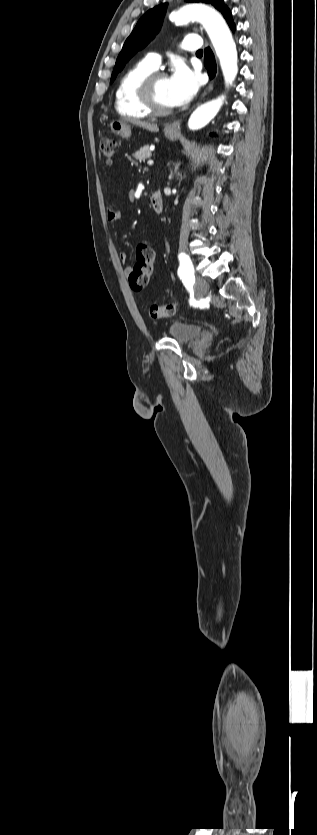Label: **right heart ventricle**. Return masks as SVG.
<instances>
[{
    "label": "right heart ventricle",
    "mask_w": 317,
    "mask_h": 835,
    "mask_svg": "<svg viewBox=\"0 0 317 835\" xmlns=\"http://www.w3.org/2000/svg\"><path fill=\"white\" fill-rule=\"evenodd\" d=\"M154 71L153 67L142 60L121 76L115 91V108L120 115L134 119H144L151 115L139 99L138 87Z\"/></svg>",
    "instance_id": "obj_1"
}]
</instances>
